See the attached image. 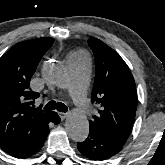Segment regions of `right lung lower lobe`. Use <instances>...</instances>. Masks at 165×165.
Masks as SVG:
<instances>
[{
  "label": "right lung lower lobe",
  "mask_w": 165,
  "mask_h": 165,
  "mask_svg": "<svg viewBox=\"0 0 165 165\" xmlns=\"http://www.w3.org/2000/svg\"><path fill=\"white\" fill-rule=\"evenodd\" d=\"M59 122L60 117L55 112L38 133L20 139L14 146L5 150V152L16 158H28L34 155L40 150L49 134V123L58 124Z\"/></svg>",
  "instance_id": "obj_1"
}]
</instances>
